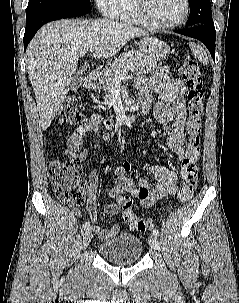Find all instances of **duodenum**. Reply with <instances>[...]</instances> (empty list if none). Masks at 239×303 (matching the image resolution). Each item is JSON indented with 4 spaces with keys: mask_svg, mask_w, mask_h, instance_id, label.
Returning a JSON list of instances; mask_svg holds the SVG:
<instances>
[{
    "mask_svg": "<svg viewBox=\"0 0 239 303\" xmlns=\"http://www.w3.org/2000/svg\"><path fill=\"white\" fill-rule=\"evenodd\" d=\"M98 80V74L94 70H90L85 75L84 85L88 89H93L96 87ZM145 113L143 109L132 111L128 114H121L120 117L116 120L106 121L107 126L114 125H125L128 123H133L138 117L142 116Z\"/></svg>",
    "mask_w": 239,
    "mask_h": 303,
    "instance_id": "410a0bca",
    "label": "duodenum"
}]
</instances>
